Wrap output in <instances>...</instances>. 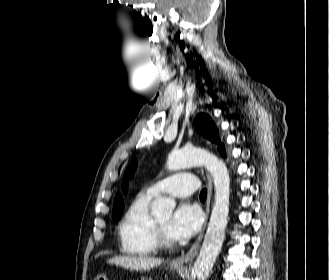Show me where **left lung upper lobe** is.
I'll use <instances>...</instances> for the list:
<instances>
[{
  "instance_id": "left-lung-upper-lobe-1",
  "label": "left lung upper lobe",
  "mask_w": 329,
  "mask_h": 280,
  "mask_svg": "<svg viewBox=\"0 0 329 280\" xmlns=\"http://www.w3.org/2000/svg\"><path fill=\"white\" fill-rule=\"evenodd\" d=\"M195 129L203 136L208 137L209 140L219 143L218 139V131L215 127L214 122L210 118L209 115L200 113L197 115L194 121ZM218 149L220 153L225 156L224 146L219 144ZM137 167V160H134L131 165L126 169L124 174L123 183H122V191L125 194L127 192L128 180L131 179L134 175V172ZM124 209V202L121 194L117 193L114 201L113 207V219L119 220Z\"/></svg>"
}]
</instances>
